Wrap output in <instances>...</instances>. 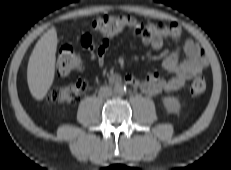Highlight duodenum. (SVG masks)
I'll return each mask as SVG.
<instances>
[{"instance_id": "410a0bca", "label": "duodenum", "mask_w": 231, "mask_h": 170, "mask_svg": "<svg viewBox=\"0 0 231 170\" xmlns=\"http://www.w3.org/2000/svg\"><path fill=\"white\" fill-rule=\"evenodd\" d=\"M114 82L119 84V83H121V79H120L119 77H116V78L114 79Z\"/></svg>"}]
</instances>
